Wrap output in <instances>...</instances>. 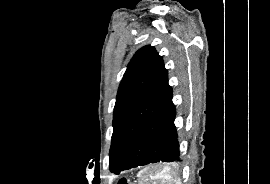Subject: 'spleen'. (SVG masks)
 <instances>
[{
    "instance_id": "obj_1",
    "label": "spleen",
    "mask_w": 270,
    "mask_h": 184,
    "mask_svg": "<svg viewBox=\"0 0 270 184\" xmlns=\"http://www.w3.org/2000/svg\"><path fill=\"white\" fill-rule=\"evenodd\" d=\"M182 184L180 178L169 167L145 168L139 173L138 184Z\"/></svg>"
}]
</instances>
